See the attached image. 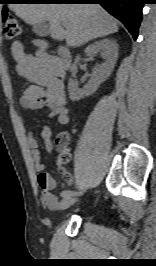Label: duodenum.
<instances>
[{"instance_id": "1", "label": "duodenum", "mask_w": 156, "mask_h": 266, "mask_svg": "<svg viewBox=\"0 0 156 266\" xmlns=\"http://www.w3.org/2000/svg\"><path fill=\"white\" fill-rule=\"evenodd\" d=\"M71 61H72V55L70 50L65 46H61L58 50V57L55 59L54 63L56 74L59 77L64 76L66 70L71 64Z\"/></svg>"}]
</instances>
